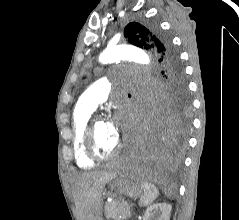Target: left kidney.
Listing matches in <instances>:
<instances>
[{
  "label": "left kidney",
  "mask_w": 239,
  "mask_h": 220,
  "mask_svg": "<svg viewBox=\"0 0 239 220\" xmlns=\"http://www.w3.org/2000/svg\"><path fill=\"white\" fill-rule=\"evenodd\" d=\"M172 206L167 203H156L147 208L143 220H170Z\"/></svg>",
  "instance_id": "obj_1"
}]
</instances>
